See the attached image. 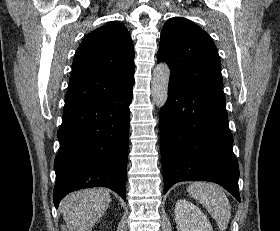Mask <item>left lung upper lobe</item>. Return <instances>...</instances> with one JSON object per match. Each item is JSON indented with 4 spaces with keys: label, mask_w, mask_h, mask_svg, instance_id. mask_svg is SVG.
<instances>
[{
    "label": "left lung upper lobe",
    "mask_w": 280,
    "mask_h": 231,
    "mask_svg": "<svg viewBox=\"0 0 280 231\" xmlns=\"http://www.w3.org/2000/svg\"><path fill=\"white\" fill-rule=\"evenodd\" d=\"M157 61L169 65V83L223 92L217 48L204 30L187 19L175 17L164 24Z\"/></svg>",
    "instance_id": "5c2ea615"
}]
</instances>
